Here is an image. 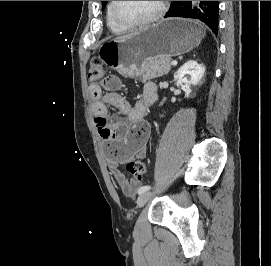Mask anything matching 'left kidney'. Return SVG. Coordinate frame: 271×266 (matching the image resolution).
Here are the masks:
<instances>
[{
	"label": "left kidney",
	"mask_w": 271,
	"mask_h": 266,
	"mask_svg": "<svg viewBox=\"0 0 271 266\" xmlns=\"http://www.w3.org/2000/svg\"><path fill=\"white\" fill-rule=\"evenodd\" d=\"M205 67L196 61H188L185 63L174 75L177 86L185 92V97H189L192 86L199 84L201 78L204 76Z\"/></svg>",
	"instance_id": "obj_1"
}]
</instances>
